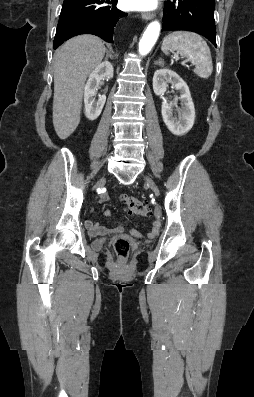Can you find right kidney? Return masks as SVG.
Listing matches in <instances>:
<instances>
[{"label":"right kidney","instance_id":"obj_1","mask_svg":"<svg viewBox=\"0 0 254 397\" xmlns=\"http://www.w3.org/2000/svg\"><path fill=\"white\" fill-rule=\"evenodd\" d=\"M113 78V66L110 62L100 63L90 74L84 89V105L86 117L93 121L101 114L106 101V95H99L96 99L97 89L102 79Z\"/></svg>","mask_w":254,"mask_h":397}]
</instances>
